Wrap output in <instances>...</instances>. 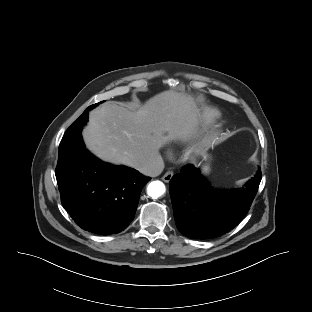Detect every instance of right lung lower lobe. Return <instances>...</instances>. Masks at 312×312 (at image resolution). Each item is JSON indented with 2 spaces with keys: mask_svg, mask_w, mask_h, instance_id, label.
<instances>
[{
  "mask_svg": "<svg viewBox=\"0 0 312 312\" xmlns=\"http://www.w3.org/2000/svg\"><path fill=\"white\" fill-rule=\"evenodd\" d=\"M55 174L63 207L78 226L100 235L119 233L130 224L151 179L100 161L86 150L82 137L58 158Z\"/></svg>",
  "mask_w": 312,
  "mask_h": 312,
  "instance_id": "obj_1",
  "label": "right lung lower lobe"
}]
</instances>
